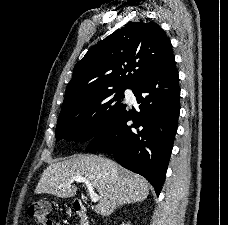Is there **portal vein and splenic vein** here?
Here are the masks:
<instances>
[{
    "instance_id": "portal-vein-and-splenic-vein-1",
    "label": "portal vein and splenic vein",
    "mask_w": 228,
    "mask_h": 225,
    "mask_svg": "<svg viewBox=\"0 0 228 225\" xmlns=\"http://www.w3.org/2000/svg\"><path fill=\"white\" fill-rule=\"evenodd\" d=\"M71 181H76V183H85L86 192L89 194L91 201H93V203H97V201H99V197L96 195L93 184H90V181H88L86 177H72Z\"/></svg>"
}]
</instances>
